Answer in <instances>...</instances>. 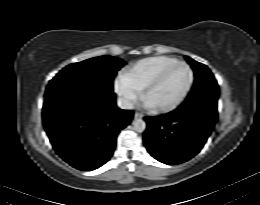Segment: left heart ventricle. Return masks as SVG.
Instances as JSON below:
<instances>
[{
    "label": "left heart ventricle",
    "mask_w": 260,
    "mask_h": 205,
    "mask_svg": "<svg viewBox=\"0 0 260 205\" xmlns=\"http://www.w3.org/2000/svg\"><path fill=\"white\" fill-rule=\"evenodd\" d=\"M190 79L184 66H175L147 94L146 101L153 106L167 105L175 101L185 90Z\"/></svg>",
    "instance_id": "obj_1"
}]
</instances>
